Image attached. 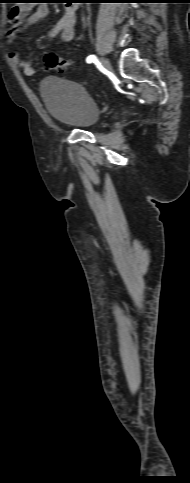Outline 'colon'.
<instances>
[{"instance_id": "colon-1", "label": "colon", "mask_w": 190, "mask_h": 483, "mask_svg": "<svg viewBox=\"0 0 190 483\" xmlns=\"http://www.w3.org/2000/svg\"><path fill=\"white\" fill-rule=\"evenodd\" d=\"M42 63L46 69L53 71H63L72 65L70 60L63 59L53 52L45 53Z\"/></svg>"}]
</instances>
